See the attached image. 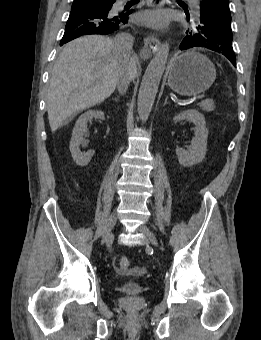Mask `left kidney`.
<instances>
[{"instance_id": "obj_1", "label": "left kidney", "mask_w": 261, "mask_h": 340, "mask_svg": "<svg viewBox=\"0 0 261 340\" xmlns=\"http://www.w3.org/2000/svg\"><path fill=\"white\" fill-rule=\"evenodd\" d=\"M175 122L187 120L195 124V137L191 145L186 149L177 147L176 155L178 161L184 167H190L203 161L207 151L208 131L206 129L205 117L194 109L184 111L176 115Z\"/></svg>"}]
</instances>
